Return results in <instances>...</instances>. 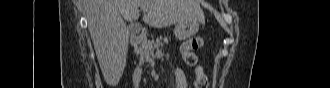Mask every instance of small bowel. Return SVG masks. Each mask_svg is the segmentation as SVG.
Masks as SVG:
<instances>
[{
    "mask_svg": "<svg viewBox=\"0 0 330 88\" xmlns=\"http://www.w3.org/2000/svg\"><path fill=\"white\" fill-rule=\"evenodd\" d=\"M174 76H175L176 88H187L188 87L186 75L182 69L176 68L174 71Z\"/></svg>",
    "mask_w": 330,
    "mask_h": 88,
    "instance_id": "small-bowel-1",
    "label": "small bowel"
}]
</instances>
